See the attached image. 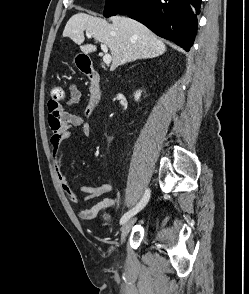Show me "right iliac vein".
Returning <instances> with one entry per match:
<instances>
[{
  "label": "right iliac vein",
  "mask_w": 249,
  "mask_h": 294,
  "mask_svg": "<svg viewBox=\"0 0 249 294\" xmlns=\"http://www.w3.org/2000/svg\"><path fill=\"white\" fill-rule=\"evenodd\" d=\"M135 223V219H130V220H127L122 228H121V242L123 243L128 235V233L130 232L133 224Z\"/></svg>",
  "instance_id": "63e3f726"
}]
</instances>
